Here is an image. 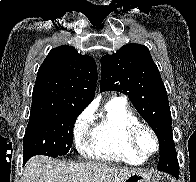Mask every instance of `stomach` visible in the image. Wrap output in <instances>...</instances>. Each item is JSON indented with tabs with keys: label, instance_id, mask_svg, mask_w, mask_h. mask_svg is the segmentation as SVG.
I'll return each instance as SVG.
<instances>
[{
	"label": "stomach",
	"instance_id": "1",
	"mask_svg": "<svg viewBox=\"0 0 196 182\" xmlns=\"http://www.w3.org/2000/svg\"><path fill=\"white\" fill-rule=\"evenodd\" d=\"M125 182H159V178L151 173L137 172L128 177Z\"/></svg>",
	"mask_w": 196,
	"mask_h": 182
}]
</instances>
